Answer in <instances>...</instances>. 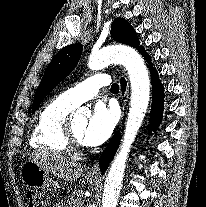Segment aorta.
<instances>
[{
  "label": "aorta",
  "mask_w": 206,
  "mask_h": 207,
  "mask_svg": "<svg viewBox=\"0 0 206 207\" xmlns=\"http://www.w3.org/2000/svg\"><path fill=\"white\" fill-rule=\"evenodd\" d=\"M111 63L122 64L128 71L131 83V99L122 144L105 180L102 207H116L126 161L147 112L150 99L148 71L137 51L126 46L106 47L91 54L88 67L91 70H100ZM80 113L81 111L78 112L79 115Z\"/></svg>",
  "instance_id": "762f6f07"
}]
</instances>
